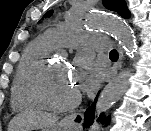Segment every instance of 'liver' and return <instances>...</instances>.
<instances>
[{"mask_svg":"<svg viewBox=\"0 0 151 131\" xmlns=\"http://www.w3.org/2000/svg\"><path fill=\"white\" fill-rule=\"evenodd\" d=\"M58 121V117L42 111L23 112L12 118L8 131H31L47 129Z\"/></svg>","mask_w":151,"mask_h":131,"instance_id":"liver-1","label":"liver"}]
</instances>
